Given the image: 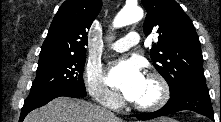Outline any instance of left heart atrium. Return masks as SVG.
<instances>
[{"mask_svg": "<svg viewBox=\"0 0 221 122\" xmlns=\"http://www.w3.org/2000/svg\"><path fill=\"white\" fill-rule=\"evenodd\" d=\"M107 82L127 100L135 101L143 91L146 78L138 60L124 59L110 67Z\"/></svg>", "mask_w": 221, "mask_h": 122, "instance_id": "left-heart-atrium-1", "label": "left heart atrium"}]
</instances>
